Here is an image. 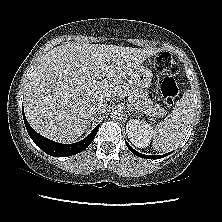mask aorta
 <instances>
[{
	"label": "aorta",
	"instance_id": "obj_1",
	"mask_svg": "<svg viewBox=\"0 0 222 222\" xmlns=\"http://www.w3.org/2000/svg\"><path fill=\"white\" fill-rule=\"evenodd\" d=\"M110 114L113 119H121L123 117V111L118 107L113 108Z\"/></svg>",
	"mask_w": 222,
	"mask_h": 222
}]
</instances>
